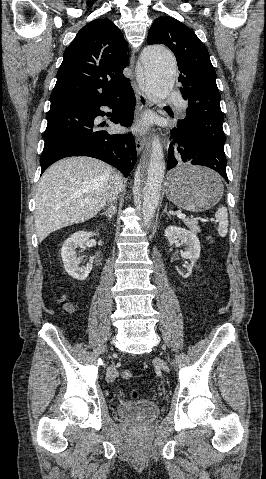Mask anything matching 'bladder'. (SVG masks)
Segmentation results:
<instances>
[{"label":"bladder","mask_w":266,"mask_h":479,"mask_svg":"<svg viewBox=\"0 0 266 479\" xmlns=\"http://www.w3.org/2000/svg\"><path fill=\"white\" fill-rule=\"evenodd\" d=\"M117 410L122 416L142 420L155 418L160 413V408L157 404L146 400L122 401L118 404Z\"/></svg>","instance_id":"bladder-1"}]
</instances>
